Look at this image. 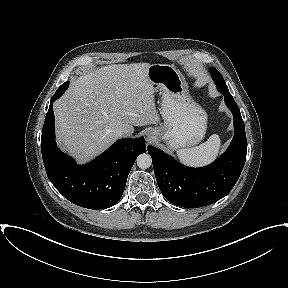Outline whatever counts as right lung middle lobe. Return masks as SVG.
Masks as SVG:
<instances>
[{"instance_id":"1","label":"right lung middle lobe","mask_w":288,"mask_h":288,"mask_svg":"<svg viewBox=\"0 0 288 288\" xmlns=\"http://www.w3.org/2000/svg\"><path fill=\"white\" fill-rule=\"evenodd\" d=\"M68 86H69V82H68V81L65 82V83H63V84L58 88V90L56 91L55 95L61 96V95L64 93V91L67 89ZM59 96H58V97H59Z\"/></svg>"}]
</instances>
